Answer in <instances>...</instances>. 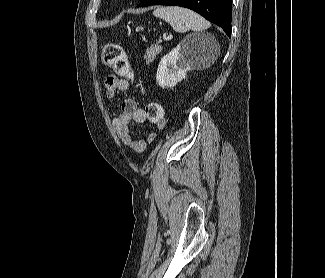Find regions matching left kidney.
I'll list each match as a JSON object with an SVG mask.
<instances>
[{
	"mask_svg": "<svg viewBox=\"0 0 325 278\" xmlns=\"http://www.w3.org/2000/svg\"><path fill=\"white\" fill-rule=\"evenodd\" d=\"M198 46L196 40L186 38L161 59L156 73L160 87L172 88L186 78L187 71L193 70V58L200 55Z\"/></svg>",
	"mask_w": 325,
	"mask_h": 278,
	"instance_id": "1",
	"label": "left kidney"
}]
</instances>
